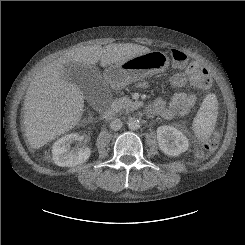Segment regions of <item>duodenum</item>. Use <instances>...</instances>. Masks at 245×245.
<instances>
[{"mask_svg": "<svg viewBox=\"0 0 245 245\" xmlns=\"http://www.w3.org/2000/svg\"><path fill=\"white\" fill-rule=\"evenodd\" d=\"M115 84H116V81L110 80V85L113 86V85H115ZM102 116H103V118H104L105 120H111V119L114 118L115 112H114V110H112V109H107V110L103 111Z\"/></svg>", "mask_w": 245, "mask_h": 245, "instance_id": "duodenum-1", "label": "duodenum"}]
</instances>
